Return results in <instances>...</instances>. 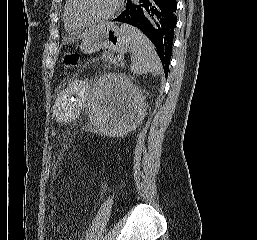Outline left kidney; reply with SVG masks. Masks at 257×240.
Returning a JSON list of instances; mask_svg holds the SVG:
<instances>
[{"label": "left kidney", "mask_w": 257, "mask_h": 240, "mask_svg": "<svg viewBox=\"0 0 257 240\" xmlns=\"http://www.w3.org/2000/svg\"><path fill=\"white\" fill-rule=\"evenodd\" d=\"M144 116V97L128 77L106 74L95 83L89 117L96 132L122 136L135 129Z\"/></svg>", "instance_id": "5707ae66"}]
</instances>
